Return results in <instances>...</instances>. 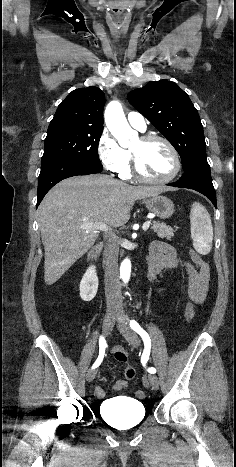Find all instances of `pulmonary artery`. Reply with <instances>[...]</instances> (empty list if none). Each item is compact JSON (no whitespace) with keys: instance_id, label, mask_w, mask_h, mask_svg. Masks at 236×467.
Returning <instances> with one entry per match:
<instances>
[{"instance_id":"obj_1","label":"pulmonary artery","mask_w":236,"mask_h":467,"mask_svg":"<svg viewBox=\"0 0 236 467\" xmlns=\"http://www.w3.org/2000/svg\"><path fill=\"white\" fill-rule=\"evenodd\" d=\"M127 119L129 124L138 129L139 131H145L146 130V121L143 115H141L138 112H129L127 115Z\"/></svg>"}]
</instances>
